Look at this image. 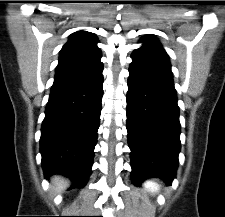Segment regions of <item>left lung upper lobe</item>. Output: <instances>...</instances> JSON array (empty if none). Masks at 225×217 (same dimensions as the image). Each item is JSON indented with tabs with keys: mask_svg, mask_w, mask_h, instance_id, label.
Segmentation results:
<instances>
[{
	"mask_svg": "<svg viewBox=\"0 0 225 217\" xmlns=\"http://www.w3.org/2000/svg\"><path fill=\"white\" fill-rule=\"evenodd\" d=\"M143 46L132 53L131 65L145 68H164L171 72L168 54L161 44L150 36L144 37Z\"/></svg>",
	"mask_w": 225,
	"mask_h": 217,
	"instance_id": "obj_1",
	"label": "left lung upper lobe"
}]
</instances>
